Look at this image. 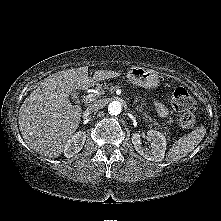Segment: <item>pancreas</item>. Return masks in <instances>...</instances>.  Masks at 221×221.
Masks as SVG:
<instances>
[{"mask_svg":"<svg viewBox=\"0 0 221 221\" xmlns=\"http://www.w3.org/2000/svg\"><path fill=\"white\" fill-rule=\"evenodd\" d=\"M118 87H119V86L98 85V86L96 87V90H97L98 92H100V93H104L105 90H107V89L114 90V89H117ZM137 102H138V98H136V100H135V103H137ZM136 108H137V110L141 111L142 106H137ZM142 115H143V119H145L146 121L153 122L154 125H155L156 127H158V128L161 127V125L156 121V119H152L150 116H147L146 113H143ZM164 131H165L166 134H169V129H168L167 127L164 128Z\"/></svg>","mask_w":221,"mask_h":221,"instance_id":"cf45deb5","label":"pancreas"}]
</instances>
